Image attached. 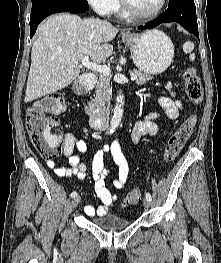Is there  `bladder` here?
<instances>
[{"label": "bladder", "mask_w": 221, "mask_h": 263, "mask_svg": "<svg viewBox=\"0 0 221 263\" xmlns=\"http://www.w3.org/2000/svg\"><path fill=\"white\" fill-rule=\"evenodd\" d=\"M96 227L106 231H118L127 228L130 221L121 218L118 214L94 216L91 221Z\"/></svg>", "instance_id": "bladder-1"}]
</instances>
